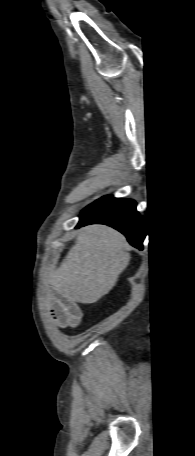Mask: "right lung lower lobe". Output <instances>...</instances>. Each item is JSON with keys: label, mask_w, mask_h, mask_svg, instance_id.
<instances>
[{"label": "right lung lower lobe", "mask_w": 195, "mask_h": 456, "mask_svg": "<svg viewBox=\"0 0 195 456\" xmlns=\"http://www.w3.org/2000/svg\"><path fill=\"white\" fill-rule=\"evenodd\" d=\"M106 224L123 233L131 245L143 248L144 220L133 200L105 196L86 207L76 228L89 224Z\"/></svg>", "instance_id": "1"}]
</instances>
